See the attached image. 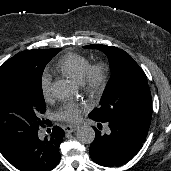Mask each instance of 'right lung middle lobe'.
<instances>
[{
    "instance_id": "right-lung-middle-lobe-1",
    "label": "right lung middle lobe",
    "mask_w": 171,
    "mask_h": 171,
    "mask_svg": "<svg viewBox=\"0 0 171 171\" xmlns=\"http://www.w3.org/2000/svg\"><path fill=\"white\" fill-rule=\"evenodd\" d=\"M61 48L27 50L0 67V152L8 159L43 125L42 73Z\"/></svg>"
}]
</instances>
